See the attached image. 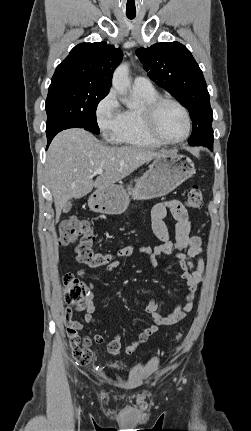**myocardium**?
Segmentation results:
<instances>
[{
	"mask_svg": "<svg viewBox=\"0 0 251 431\" xmlns=\"http://www.w3.org/2000/svg\"><path fill=\"white\" fill-rule=\"evenodd\" d=\"M165 104H173L177 106L183 113L185 118V133L184 135L177 140H166L161 136L157 128V116L161 107ZM142 117L144 127L147 133L159 144L161 145H178L187 140L191 133V117L188 109L178 100L166 97V96H158L154 100L145 104L142 108Z\"/></svg>",
	"mask_w": 251,
	"mask_h": 431,
	"instance_id": "obj_1",
	"label": "myocardium"
}]
</instances>
